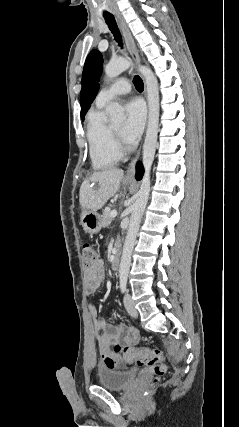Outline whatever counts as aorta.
Instances as JSON below:
<instances>
[{
    "instance_id": "1",
    "label": "aorta",
    "mask_w": 239,
    "mask_h": 427,
    "mask_svg": "<svg viewBox=\"0 0 239 427\" xmlns=\"http://www.w3.org/2000/svg\"><path fill=\"white\" fill-rule=\"evenodd\" d=\"M131 65L132 63L127 59H117L115 61H110L105 67V74L109 79L115 78L125 70L129 69ZM139 71L145 79L149 107L147 131L143 146V166L145 173L137 194V199L133 204V211L131 214L129 228L123 246V253L120 262V277L128 276L132 251L138 234L140 221L148 202L150 193V172L154 160L159 127L158 81L149 67L140 66ZM106 113L110 117L112 123L115 124L122 123L125 119L124 108L117 102L111 103L106 108Z\"/></svg>"
}]
</instances>
